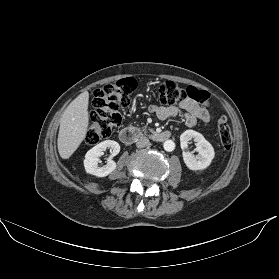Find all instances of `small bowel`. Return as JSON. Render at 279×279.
I'll return each instance as SVG.
<instances>
[{"label": "small bowel", "mask_w": 279, "mask_h": 279, "mask_svg": "<svg viewBox=\"0 0 279 279\" xmlns=\"http://www.w3.org/2000/svg\"><path fill=\"white\" fill-rule=\"evenodd\" d=\"M149 110L162 120L180 115L189 127H194L199 120L208 123L211 119L207 108L190 98L184 99L177 106H151Z\"/></svg>", "instance_id": "small-bowel-1"}]
</instances>
